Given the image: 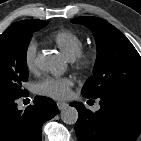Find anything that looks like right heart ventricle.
Listing matches in <instances>:
<instances>
[{
    "label": "right heart ventricle",
    "mask_w": 141,
    "mask_h": 141,
    "mask_svg": "<svg viewBox=\"0 0 141 141\" xmlns=\"http://www.w3.org/2000/svg\"><path fill=\"white\" fill-rule=\"evenodd\" d=\"M51 38L69 60L75 58L82 51V38L71 30L57 31L52 34Z\"/></svg>",
    "instance_id": "1"
}]
</instances>
